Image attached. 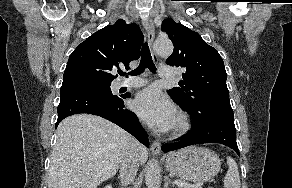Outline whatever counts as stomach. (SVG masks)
I'll return each mask as SVG.
<instances>
[{
	"mask_svg": "<svg viewBox=\"0 0 292 188\" xmlns=\"http://www.w3.org/2000/svg\"><path fill=\"white\" fill-rule=\"evenodd\" d=\"M167 171L186 181L204 182L220 170L219 156L212 150L190 146L170 153L165 162Z\"/></svg>",
	"mask_w": 292,
	"mask_h": 188,
	"instance_id": "0dacf381",
	"label": "stomach"
}]
</instances>
